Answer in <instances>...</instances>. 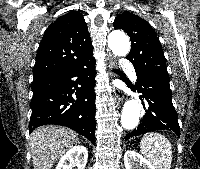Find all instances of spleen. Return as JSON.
<instances>
[{
    "label": "spleen",
    "mask_w": 200,
    "mask_h": 169,
    "mask_svg": "<svg viewBox=\"0 0 200 169\" xmlns=\"http://www.w3.org/2000/svg\"><path fill=\"white\" fill-rule=\"evenodd\" d=\"M140 151L156 167L170 169L172 164V146L170 141L159 133L145 134L140 143Z\"/></svg>",
    "instance_id": "obj_1"
}]
</instances>
